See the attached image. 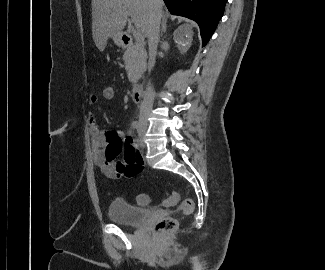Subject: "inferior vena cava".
Instances as JSON below:
<instances>
[{
	"label": "inferior vena cava",
	"instance_id": "1",
	"mask_svg": "<svg viewBox=\"0 0 325 270\" xmlns=\"http://www.w3.org/2000/svg\"><path fill=\"white\" fill-rule=\"evenodd\" d=\"M152 9L151 18L149 21L148 31V44H149V62L148 67L151 71L155 65L157 45L159 42L160 35V23H161V0H150ZM155 92L151 84H148L146 89L144 100L140 107V120L146 122L150 115L153 107Z\"/></svg>",
	"mask_w": 325,
	"mask_h": 270
}]
</instances>
